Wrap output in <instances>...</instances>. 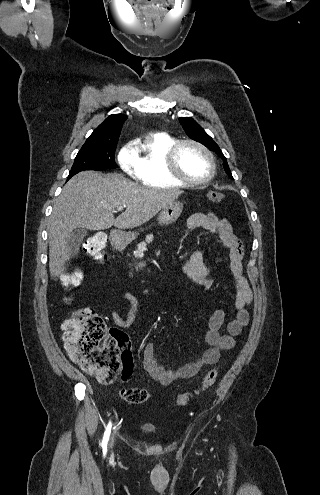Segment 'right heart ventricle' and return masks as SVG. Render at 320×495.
<instances>
[{"mask_svg": "<svg viewBox=\"0 0 320 495\" xmlns=\"http://www.w3.org/2000/svg\"><path fill=\"white\" fill-rule=\"evenodd\" d=\"M176 140L165 133L149 134L137 150V180L156 189L181 188L185 184L173 178L166 167V154Z\"/></svg>", "mask_w": 320, "mask_h": 495, "instance_id": "e07e8e85", "label": "right heart ventricle"}]
</instances>
